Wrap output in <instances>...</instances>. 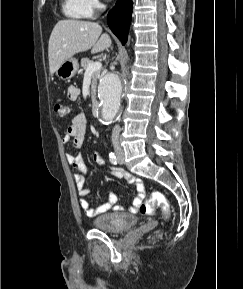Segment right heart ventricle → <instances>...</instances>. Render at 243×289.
Listing matches in <instances>:
<instances>
[{
	"label": "right heart ventricle",
	"instance_id": "1",
	"mask_svg": "<svg viewBox=\"0 0 243 289\" xmlns=\"http://www.w3.org/2000/svg\"><path fill=\"white\" fill-rule=\"evenodd\" d=\"M63 13L73 19H84L90 16L81 0H63Z\"/></svg>",
	"mask_w": 243,
	"mask_h": 289
}]
</instances>
